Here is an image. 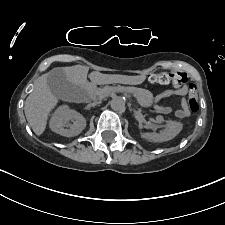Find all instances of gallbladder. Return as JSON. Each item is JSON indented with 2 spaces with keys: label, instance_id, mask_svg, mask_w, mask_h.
Returning a JSON list of instances; mask_svg holds the SVG:
<instances>
[{
  "label": "gallbladder",
  "instance_id": "obj_1",
  "mask_svg": "<svg viewBox=\"0 0 225 225\" xmlns=\"http://www.w3.org/2000/svg\"><path fill=\"white\" fill-rule=\"evenodd\" d=\"M47 84L50 91L64 101H75L80 98L81 90L69 83L62 68H54L48 72Z\"/></svg>",
  "mask_w": 225,
  "mask_h": 225
}]
</instances>
